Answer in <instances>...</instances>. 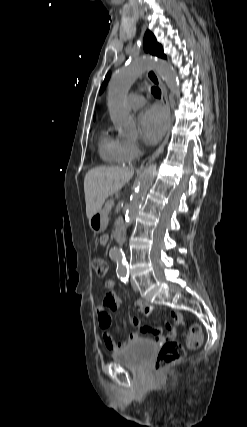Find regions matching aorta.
Returning a JSON list of instances; mask_svg holds the SVG:
<instances>
[{"label":"aorta","instance_id":"obj_1","mask_svg":"<svg viewBox=\"0 0 247 427\" xmlns=\"http://www.w3.org/2000/svg\"><path fill=\"white\" fill-rule=\"evenodd\" d=\"M148 68L156 70L162 77L169 89L179 94L180 86L176 72L166 62L152 57L132 59L123 67L118 68L112 75L108 88V107L112 122L119 128L124 136L134 137L137 135V125L135 119L125 108V98L135 80L141 76ZM157 173L156 164L149 165L140 177L139 184L132 194L129 206L125 214L124 228L127 229L133 223L146 194ZM110 257L117 264V273L126 274L127 263L125 254L120 248H112Z\"/></svg>","mask_w":247,"mask_h":427}]
</instances>
